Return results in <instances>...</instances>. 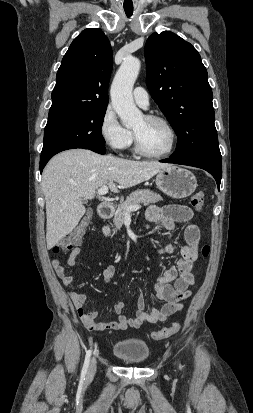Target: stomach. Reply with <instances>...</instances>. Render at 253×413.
Wrapping results in <instances>:
<instances>
[{
	"instance_id": "stomach-1",
	"label": "stomach",
	"mask_w": 253,
	"mask_h": 413,
	"mask_svg": "<svg viewBox=\"0 0 253 413\" xmlns=\"http://www.w3.org/2000/svg\"><path fill=\"white\" fill-rule=\"evenodd\" d=\"M156 186L172 198L183 199L195 191L197 180L190 171L178 166H170L157 174Z\"/></svg>"
}]
</instances>
